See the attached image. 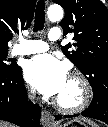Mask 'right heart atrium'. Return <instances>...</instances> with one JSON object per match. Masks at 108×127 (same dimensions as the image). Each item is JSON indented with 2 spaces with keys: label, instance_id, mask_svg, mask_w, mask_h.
Instances as JSON below:
<instances>
[{
  "label": "right heart atrium",
  "instance_id": "d8ad5b80",
  "mask_svg": "<svg viewBox=\"0 0 108 127\" xmlns=\"http://www.w3.org/2000/svg\"><path fill=\"white\" fill-rule=\"evenodd\" d=\"M29 94L32 96L34 95V90L30 89Z\"/></svg>",
  "mask_w": 108,
  "mask_h": 127
}]
</instances>
